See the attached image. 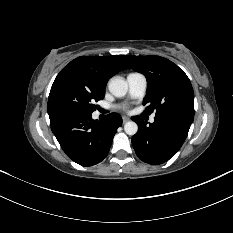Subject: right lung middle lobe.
I'll use <instances>...</instances> for the list:
<instances>
[{"instance_id":"obj_1","label":"right lung middle lobe","mask_w":233,"mask_h":233,"mask_svg":"<svg viewBox=\"0 0 233 233\" xmlns=\"http://www.w3.org/2000/svg\"><path fill=\"white\" fill-rule=\"evenodd\" d=\"M103 98L104 91L94 89L79 81L62 79L54 81L51 87L47 110L48 113L74 111L92 114L96 110L93 102Z\"/></svg>"}]
</instances>
